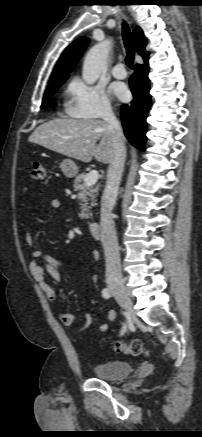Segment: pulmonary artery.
Segmentation results:
<instances>
[{
    "instance_id": "pulmonary-artery-1",
    "label": "pulmonary artery",
    "mask_w": 202,
    "mask_h": 437,
    "mask_svg": "<svg viewBox=\"0 0 202 437\" xmlns=\"http://www.w3.org/2000/svg\"><path fill=\"white\" fill-rule=\"evenodd\" d=\"M112 75L117 79H124L127 76L124 64H116L112 70Z\"/></svg>"
}]
</instances>
